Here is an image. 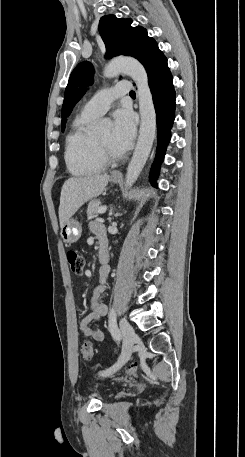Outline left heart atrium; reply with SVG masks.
Segmentation results:
<instances>
[{"instance_id":"left-heart-atrium-1","label":"left heart atrium","mask_w":245,"mask_h":457,"mask_svg":"<svg viewBox=\"0 0 245 457\" xmlns=\"http://www.w3.org/2000/svg\"><path fill=\"white\" fill-rule=\"evenodd\" d=\"M135 135V117L128 109H118L114 113L112 143L122 151L128 150Z\"/></svg>"}]
</instances>
